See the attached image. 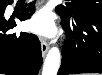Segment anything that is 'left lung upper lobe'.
<instances>
[{
	"label": "left lung upper lobe",
	"instance_id": "left-lung-upper-lobe-1",
	"mask_svg": "<svg viewBox=\"0 0 102 75\" xmlns=\"http://www.w3.org/2000/svg\"><path fill=\"white\" fill-rule=\"evenodd\" d=\"M56 10L70 18L92 13L102 14V0H71L66 6H58Z\"/></svg>",
	"mask_w": 102,
	"mask_h": 75
}]
</instances>
